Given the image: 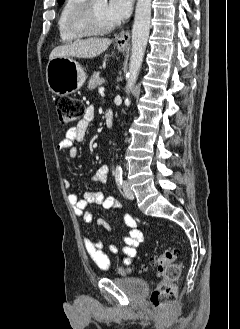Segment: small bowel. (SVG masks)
I'll return each instance as SVG.
<instances>
[{
	"label": "small bowel",
	"instance_id": "1",
	"mask_svg": "<svg viewBox=\"0 0 240 329\" xmlns=\"http://www.w3.org/2000/svg\"><path fill=\"white\" fill-rule=\"evenodd\" d=\"M95 115V109L92 105L85 108L82 118L77 124L67 130L65 137L57 144L56 150L58 152H68V156L75 159L79 156L78 149L74 146L75 142H80L84 139L88 126L93 120ZM109 174V167L107 165L100 166L97 171L91 176L90 181L96 184H105L107 182ZM66 187L70 186L69 180L64 181ZM69 203L73 210L80 217L84 223H90L93 220V215L87 210V206L90 204L101 205L105 209H119L121 202L114 196H107L101 191H89L80 198L76 193H70L68 195ZM123 221L128 228V235L124 237V247L122 252L124 257L122 259L123 265H130L133 259L137 255V247L143 241V233L138 228L135 218L129 214L123 216ZM97 225L104 228L106 231H110L108 222L99 218L96 221ZM83 247L89 258L95 263L97 267L102 270H108L111 261L108 255L103 251V243L95 242L90 237H83ZM109 253L115 254L118 252V247L115 244H109L107 246Z\"/></svg>",
	"mask_w": 240,
	"mask_h": 329
}]
</instances>
